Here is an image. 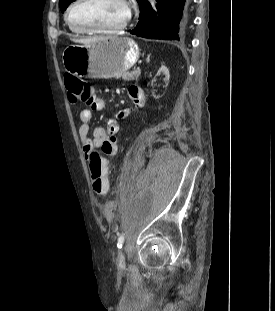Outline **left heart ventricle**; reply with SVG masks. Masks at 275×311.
Masks as SVG:
<instances>
[{
	"label": "left heart ventricle",
	"instance_id": "obj_1",
	"mask_svg": "<svg viewBox=\"0 0 275 311\" xmlns=\"http://www.w3.org/2000/svg\"><path fill=\"white\" fill-rule=\"evenodd\" d=\"M127 10L120 0H83L70 14L73 25L93 29H111L120 26Z\"/></svg>",
	"mask_w": 275,
	"mask_h": 311
}]
</instances>
